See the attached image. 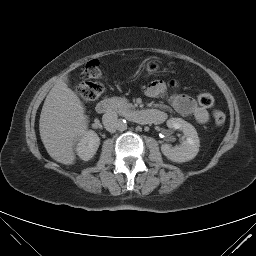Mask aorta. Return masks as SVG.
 Wrapping results in <instances>:
<instances>
[{"label": "aorta", "mask_w": 256, "mask_h": 256, "mask_svg": "<svg viewBox=\"0 0 256 256\" xmlns=\"http://www.w3.org/2000/svg\"><path fill=\"white\" fill-rule=\"evenodd\" d=\"M127 129V122L124 119H120L118 123V130L124 131Z\"/></svg>", "instance_id": "aorta-1"}]
</instances>
